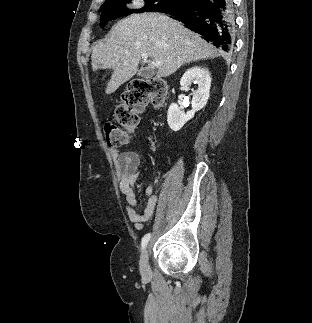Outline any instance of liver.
I'll list each match as a JSON object with an SVG mask.
<instances>
[{
	"instance_id": "obj_1",
	"label": "liver",
	"mask_w": 312,
	"mask_h": 323,
	"mask_svg": "<svg viewBox=\"0 0 312 323\" xmlns=\"http://www.w3.org/2000/svg\"><path fill=\"white\" fill-rule=\"evenodd\" d=\"M141 54H148L153 62H162L156 72V78L161 80L183 64L217 56L218 50L167 14H132L117 22L106 40L93 48V72L98 68L114 70L106 84V94L116 92L135 76Z\"/></svg>"
}]
</instances>
